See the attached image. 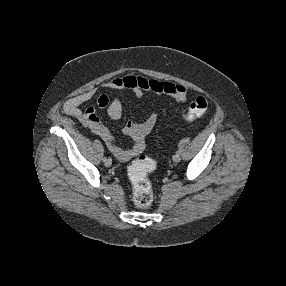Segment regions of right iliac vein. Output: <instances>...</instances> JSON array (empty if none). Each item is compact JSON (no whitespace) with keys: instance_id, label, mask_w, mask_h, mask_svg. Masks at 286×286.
<instances>
[{"instance_id":"right-iliac-vein-1","label":"right iliac vein","mask_w":286,"mask_h":286,"mask_svg":"<svg viewBox=\"0 0 286 286\" xmlns=\"http://www.w3.org/2000/svg\"><path fill=\"white\" fill-rule=\"evenodd\" d=\"M112 165V160L109 158L105 161V166L110 167Z\"/></svg>"}]
</instances>
